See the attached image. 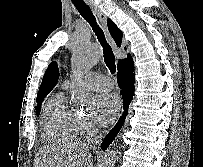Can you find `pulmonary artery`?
<instances>
[{
  "label": "pulmonary artery",
  "mask_w": 203,
  "mask_h": 167,
  "mask_svg": "<svg viewBox=\"0 0 203 167\" xmlns=\"http://www.w3.org/2000/svg\"><path fill=\"white\" fill-rule=\"evenodd\" d=\"M86 83L93 89V90H108L113 87V82L110 77L99 74L96 72H89L85 75ZM69 80L65 82L68 84Z\"/></svg>",
  "instance_id": "obj_1"
}]
</instances>
